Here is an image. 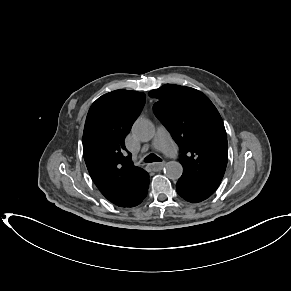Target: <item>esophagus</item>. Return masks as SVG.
Masks as SVG:
<instances>
[{
    "instance_id": "obj_1",
    "label": "esophagus",
    "mask_w": 291,
    "mask_h": 291,
    "mask_svg": "<svg viewBox=\"0 0 291 291\" xmlns=\"http://www.w3.org/2000/svg\"><path fill=\"white\" fill-rule=\"evenodd\" d=\"M165 165V162H157L150 165L153 171H160Z\"/></svg>"
}]
</instances>
